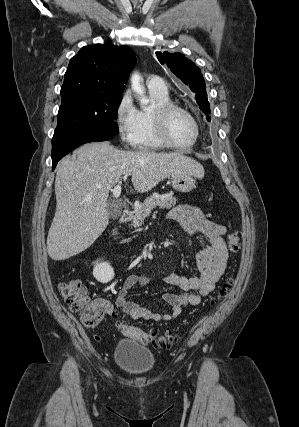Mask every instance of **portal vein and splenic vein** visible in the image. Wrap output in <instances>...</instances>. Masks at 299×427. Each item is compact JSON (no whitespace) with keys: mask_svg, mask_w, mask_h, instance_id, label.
Wrapping results in <instances>:
<instances>
[{"mask_svg":"<svg viewBox=\"0 0 299 427\" xmlns=\"http://www.w3.org/2000/svg\"><path fill=\"white\" fill-rule=\"evenodd\" d=\"M121 182H119L113 189H112V194L114 198H119L120 194H121Z\"/></svg>","mask_w":299,"mask_h":427,"instance_id":"portal-vein-and-splenic-vein-1","label":"portal vein and splenic vein"}]
</instances>
